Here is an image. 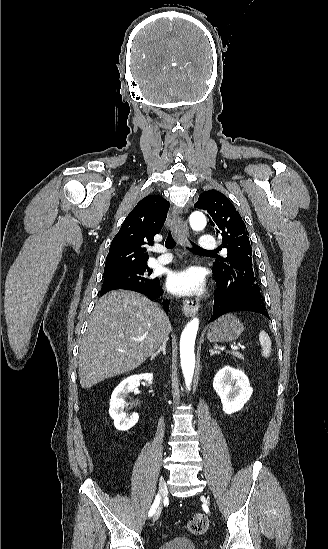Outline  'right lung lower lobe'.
<instances>
[{
  "mask_svg": "<svg viewBox=\"0 0 328 549\" xmlns=\"http://www.w3.org/2000/svg\"><path fill=\"white\" fill-rule=\"evenodd\" d=\"M131 290L142 293V294H145L148 297H150L151 299H154V298H157V297H160V296L163 295V291L159 286L158 279L156 280L155 283H153L151 286H149L147 288H139V289H131ZM164 306H165V311L167 312L168 311V300H164Z\"/></svg>",
  "mask_w": 328,
  "mask_h": 549,
  "instance_id": "right-lung-lower-lobe-1",
  "label": "right lung lower lobe"
}]
</instances>
